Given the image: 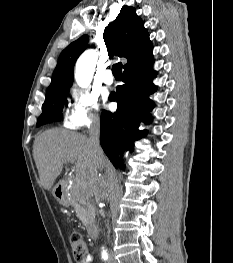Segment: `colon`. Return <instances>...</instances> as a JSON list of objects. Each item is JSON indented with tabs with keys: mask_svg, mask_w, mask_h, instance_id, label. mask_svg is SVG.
<instances>
[{
	"mask_svg": "<svg viewBox=\"0 0 233 263\" xmlns=\"http://www.w3.org/2000/svg\"><path fill=\"white\" fill-rule=\"evenodd\" d=\"M69 241L72 247L74 259L79 263L87 254V243L84 236L73 231L69 234Z\"/></svg>",
	"mask_w": 233,
	"mask_h": 263,
	"instance_id": "colon-1",
	"label": "colon"
}]
</instances>
